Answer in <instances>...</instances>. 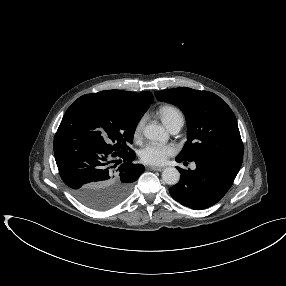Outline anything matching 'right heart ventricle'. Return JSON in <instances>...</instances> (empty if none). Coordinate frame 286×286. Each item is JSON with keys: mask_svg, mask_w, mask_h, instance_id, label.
Returning a JSON list of instances; mask_svg holds the SVG:
<instances>
[{"mask_svg": "<svg viewBox=\"0 0 286 286\" xmlns=\"http://www.w3.org/2000/svg\"><path fill=\"white\" fill-rule=\"evenodd\" d=\"M158 113L167 127L175 120L183 118L181 111L171 105L162 106Z\"/></svg>", "mask_w": 286, "mask_h": 286, "instance_id": "right-heart-ventricle-1", "label": "right heart ventricle"}]
</instances>
